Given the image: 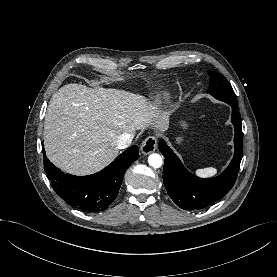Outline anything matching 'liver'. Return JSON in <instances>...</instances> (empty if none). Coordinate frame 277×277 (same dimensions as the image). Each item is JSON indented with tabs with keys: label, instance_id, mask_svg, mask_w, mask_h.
Masks as SVG:
<instances>
[{
	"label": "liver",
	"instance_id": "6515ba94",
	"mask_svg": "<svg viewBox=\"0 0 277 277\" xmlns=\"http://www.w3.org/2000/svg\"><path fill=\"white\" fill-rule=\"evenodd\" d=\"M153 125L169 127L168 113L143 96L117 89L67 84L53 94L45 117L44 145L50 161L75 175L96 173L118 155L116 141Z\"/></svg>",
	"mask_w": 277,
	"mask_h": 277
}]
</instances>
